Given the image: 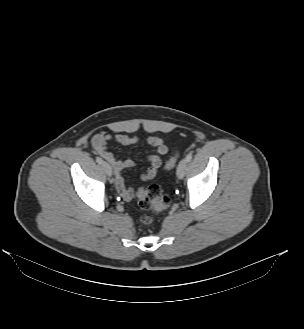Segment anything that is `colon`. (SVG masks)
Returning a JSON list of instances; mask_svg holds the SVG:
<instances>
[{"instance_id": "5ec220e1", "label": "colon", "mask_w": 304, "mask_h": 329, "mask_svg": "<svg viewBox=\"0 0 304 329\" xmlns=\"http://www.w3.org/2000/svg\"><path fill=\"white\" fill-rule=\"evenodd\" d=\"M179 159V154L175 153L165 164L164 169L169 170L174 167ZM136 202L143 210H153L155 212H162L166 210L171 203V199L167 194H164L161 189L156 185L148 187H140L136 193ZM152 217L145 215L142 217L144 224H151Z\"/></svg>"}]
</instances>
